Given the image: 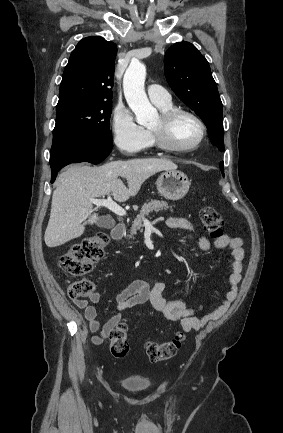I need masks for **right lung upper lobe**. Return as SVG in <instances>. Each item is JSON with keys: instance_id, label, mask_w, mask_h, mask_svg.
Listing matches in <instances>:
<instances>
[{"instance_id": "obj_1", "label": "right lung upper lobe", "mask_w": 283, "mask_h": 433, "mask_svg": "<svg viewBox=\"0 0 283 433\" xmlns=\"http://www.w3.org/2000/svg\"><path fill=\"white\" fill-rule=\"evenodd\" d=\"M116 54V44L102 37L82 39L71 53L64 69L56 109L112 101Z\"/></svg>"}]
</instances>
